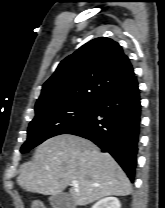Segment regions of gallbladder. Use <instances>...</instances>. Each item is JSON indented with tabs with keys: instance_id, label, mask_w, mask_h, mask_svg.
<instances>
[{
	"instance_id": "1",
	"label": "gallbladder",
	"mask_w": 165,
	"mask_h": 208,
	"mask_svg": "<svg viewBox=\"0 0 165 208\" xmlns=\"http://www.w3.org/2000/svg\"><path fill=\"white\" fill-rule=\"evenodd\" d=\"M49 202L53 208H76L74 200L67 193L52 195Z\"/></svg>"
}]
</instances>
